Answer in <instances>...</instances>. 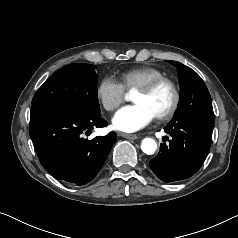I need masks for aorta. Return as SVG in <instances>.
Segmentation results:
<instances>
[{"instance_id":"762f6f07","label":"aorta","mask_w":238,"mask_h":238,"mask_svg":"<svg viewBox=\"0 0 238 238\" xmlns=\"http://www.w3.org/2000/svg\"><path fill=\"white\" fill-rule=\"evenodd\" d=\"M141 150L147 155L154 154L155 151L157 150L156 141L149 137L144 138L141 142Z\"/></svg>"}]
</instances>
